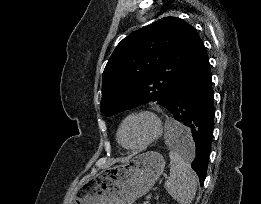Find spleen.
<instances>
[{"instance_id":"1","label":"spleen","mask_w":261,"mask_h":204,"mask_svg":"<svg viewBox=\"0 0 261 204\" xmlns=\"http://www.w3.org/2000/svg\"><path fill=\"white\" fill-rule=\"evenodd\" d=\"M169 133H184L187 128L175 121L168 126ZM170 178L165 182V189L179 204H191L197 189V178L189 163L174 149L169 152Z\"/></svg>"}]
</instances>
